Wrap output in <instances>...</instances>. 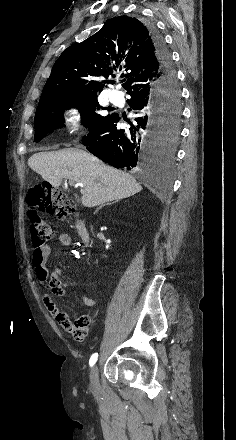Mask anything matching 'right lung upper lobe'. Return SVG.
Masks as SVG:
<instances>
[{"label": "right lung upper lobe", "instance_id": "1", "mask_svg": "<svg viewBox=\"0 0 236 440\" xmlns=\"http://www.w3.org/2000/svg\"><path fill=\"white\" fill-rule=\"evenodd\" d=\"M160 65L148 28L138 19H110L97 33L68 47L55 62L40 101L57 95L97 94L120 72L127 93L153 85Z\"/></svg>", "mask_w": 236, "mask_h": 440}]
</instances>
